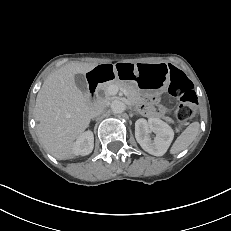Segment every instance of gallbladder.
<instances>
[{
	"label": "gallbladder",
	"mask_w": 231,
	"mask_h": 231,
	"mask_svg": "<svg viewBox=\"0 0 231 231\" xmlns=\"http://www.w3.org/2000/svg\"><path fill=\"white\" fill-rule=\"evenodd\" d=\"M75 84L79 90L82 92L87 91V82L83 74H76L75 77Z\"/></svg>",
	"instance_id": "bac80fb5"
}]
</instances>
